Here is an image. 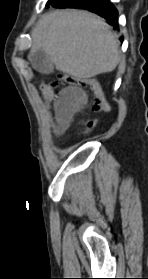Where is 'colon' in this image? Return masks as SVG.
<instances>
[{
	"label": "colon",
	"mask_w": 148,
	"mask_h": 279,
	"mask_svg": "<svg viewBox=\"0 0 148 279\" xmlns=\"http://www.w3.org/2000/svg\"><path fill=\"white\" fill-rule=\"evenodd\" d=\"M66 86L89 89L95 98V109L104 113L110 111V105L105 99L102 86L95 78L80 79L71 76H63L57 81L41 84L39 89L44 101L50 103L55 100L60 90Z\"/></svg>",
	"instance_id": "5ec220e1"
}]
</instances>
